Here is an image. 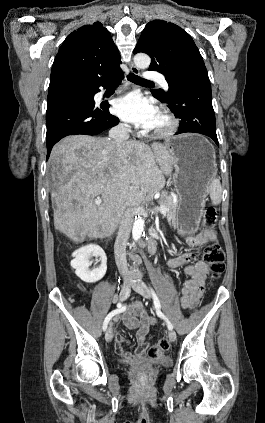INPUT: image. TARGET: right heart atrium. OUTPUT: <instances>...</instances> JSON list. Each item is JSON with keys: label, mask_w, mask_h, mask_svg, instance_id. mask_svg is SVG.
I'll return each mask as SVG.
<instances>
[{"label": "right heart atrium", "mask_w": 265, "mask_h": 423, "mask_svg": "<svg viewBox=\"0 0 265 423\" xmlns=\"http://www.w3.org/2000/svg\"><path fill=\"white\" fill-rule=\"evenodd\" d=\"M120 127H121L122 129L129 130V126H128L127 124H125V123H121V124H120Z\"/></svg>", "instance_id": "right-heart-atrium-1"}]
</instances>
